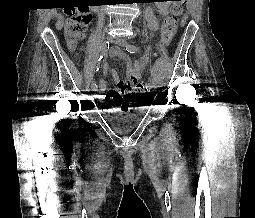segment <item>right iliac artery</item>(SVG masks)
Here are the masks:
<instances>
[{
	"instance_id": "obj_1",
	"label": "right iliac artery",
	"mask_w": 255,
	"mask_h": 218,
	"mask_svg": "<svg viewBox=\"0 0 255 218\" xmlns=\"http://www.w3.org/2000/svg\"><path fill=\"white\" fill-rule=\"evenodd\" d=\"M108 50H109V42L106 41V42H104L103 45H102L101 56H100V58H99V61H101L103 58H105V57L107 56ZM92 86H93V87H97V85H96L95 82H92Z\"/></svg>"
}]
</instances>
